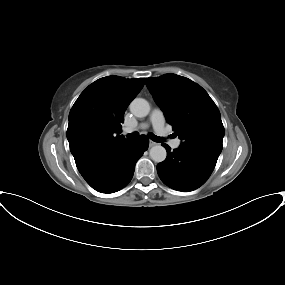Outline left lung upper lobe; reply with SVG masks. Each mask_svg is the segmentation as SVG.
<instances>
[{
	"label": "left lung upper lobe",
	"instance_id": "obj_1",
	"mask_svg": "<svg viewBox=\"0 0 285 285\" xmlns=\"http://www.w3.org/2000/svg\"><path fill=\"white\" fill-rule=\"evenodd\" d=\"M146 84L167 122L182 140L181 146L220 155L225 133L221 115L201 86L171 73L146 78Z\"/></svg>",
	"mask_w": 285,
	"mask_h": 285
}]
</instances>
